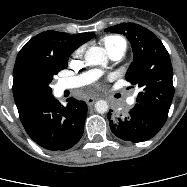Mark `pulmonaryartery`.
<instances>
[{"label":"pulmonary artery","mask_w":187,"mask_h":187,"mask_svg":"<svg viewBox=\"0 0 187 187\" xmlns=\"http://www.w3.org/2000/svg\"><path fill=\"white\" fill-rule=\"evenodd\" d=\"M124 54H125V50L123 49H115L108 52L109 58L113 61L120 60L124 56ZM98 73L99 72L97 70H93L77 77L64 79L59 83V87L60 89H70V88L83 86L89 83L90 81H92L98 75ZM133 101L134 98L131 97L130 103H132Z\"/></svg>","instance_id":"obj_1"}]
</instances>
